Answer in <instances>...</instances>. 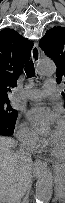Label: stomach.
I'll use <instances>...</instances> for the list:
<instances>
[{
  "label": "stomach",
  "mask_w": 65,
  "mask_h": 203,
  "mask_svg": "<svg viewBox=\"0 0 65 203\" xmlns=\"http://www.w3.org/2000/svg\"><path fill=\"white\" fill-rule=\"evenodd\" d=\"M56 193L59 198L63 201L65 198V167L56 166Z\"/></svg>",
  "instance_id": "0dacf381"
}]
</instances>
